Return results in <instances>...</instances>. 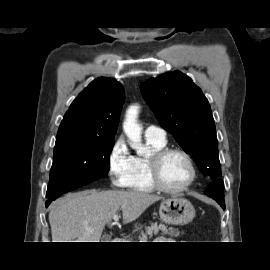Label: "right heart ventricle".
Here are the masks:
<instances>
[{"instance_id": "e07e8e85", "label": "right heart ventricle", "mask_w": 270, "mask_h": 270, "mask_svg": "<svg viewBox=\"0 0 270 270\" xmlns=\"http://www.w3.org/2000/svg\"><path fill=\"white\" fill-rule=\"evenodd\" d=\"M146 139L151 152L164 148L166 145V141H157L149 138ZM148 158L149 156L133 157V171L129 188L135 192L151 193L155 189L149 179L147 168Z\"/></svg>"}]
</instances>
